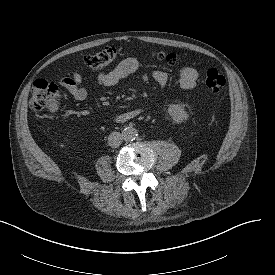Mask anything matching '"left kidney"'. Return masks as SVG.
Returning a JSON list of instances; mask_svg holds the SVG:
<instances>
[{
    "label": "left kidney",
    "instance_id": "left-kidney-1",
    "mask_svg": "<svg viewBox=\"0 0 275 275\" xmlns=\"http://www.w3.org/2000/svg\"><path fill=\"white\" fill-rule=\"evenodd\" d=\"M168 113L176 123H182L188 118V114L185 111L184 107L179 104L170 105Z\"/></svg>",
    "mask_w": 275,
    "mask_h": 275
}]
</instances>
